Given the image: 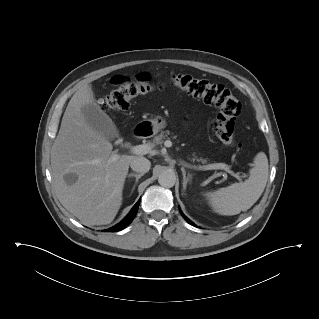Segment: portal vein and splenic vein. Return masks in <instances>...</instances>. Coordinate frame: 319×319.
Instances as JSON below:
<instances>
[{
  "label": "portal vein and splenic vein",
  "instance_id": "obj_1",
  "mask_svg": "<svg viewBox=\"0 0 319 319\" xmlns=\"http://www.w3.org/2000/svg\"><path fill=\"white\" fill-rule=\"evenodd\" d=\"M164 146L165 147H171L172 146V142L170 140H167L164 142ZM152 149V146L150 144H142V145H137L131 148V151L133 154H137V155H145L148 154ZM118 159V155L114 154L111 157V161H116ZM184 166L188 167V168H194L195 170H224L227 173L231 174L232 176H234L235 178H237L238 180H241V177L234 173L232 170H230V167L225 164V163H215V164H209V165H204V166H191L187 163L184 164ZM224 177H226L225 175H223Z\"/></svg>",
  "mask_w": 319,
  "mask_h": 319
}]
</instances>
